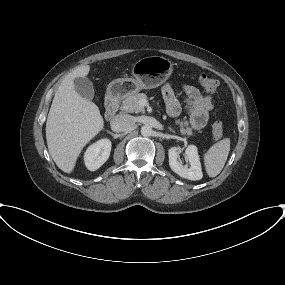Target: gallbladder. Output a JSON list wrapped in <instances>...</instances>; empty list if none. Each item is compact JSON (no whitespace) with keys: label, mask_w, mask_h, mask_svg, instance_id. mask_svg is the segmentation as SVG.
<instances>
[{"label":"gallbladder","mask_w":285,"mask_h":285,"mask_svg":"<svg viewBox=\"0 0 285 285\" xmlns=\"http://www.w3.org/2000/svg\"><path fill=\"white\" fill-rule=\"evenodd\" d=\"M74 87L76 92L83 98L88 100L94 98V88L92 82L87 77H76L74 79Z\"/></svg>","instance_id":"gallbladder-1"}]
</instances>
